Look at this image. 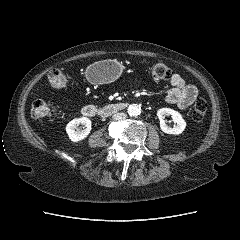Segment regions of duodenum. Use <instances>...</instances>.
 <instances>
[{
	"instance_id": "410a0bca",
	"label": "duodenum",
	"mask_w": 240,
	"mask_h": 240,
	"mask_svg": "<svg viewBox=\"0 0 240 240\" xmlns=\"http://www.w3.org/2000/svg\"><path fill=\"white\" fill-rule=\"evenodd\" d=\"M126 107L127 104L124 102L111 103L101 108H97L93 105H85L83 106L81 112L85 117L92 118L98 116L105 118L111 116L114 113L124 110Z\"/></svg>"
}]
</instances>
